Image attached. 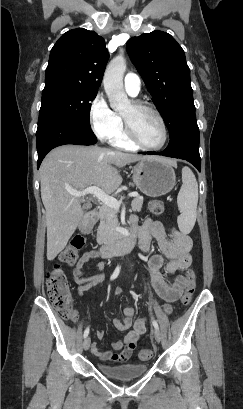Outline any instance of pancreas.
Listing matches in <instances>:
<instances>
[{"label": "pancreas", "mask_w": 243, "mask_h": 409, "mask_svg": "<svg viewBox=\"0 0 243 409\" xmlns=\"http://www.w3.org/2000/svg\"><path fill=\"white\" fill-rule=\"evenodd\" d=\"M143 205V197L137 195L131 203L133 211L140 212ZM100 224L97 229V242L108 244L115 240V229L119 225L117 210L103 204L99 210Z\"/></svg>", "instance_id": "1"}]
</instances>
